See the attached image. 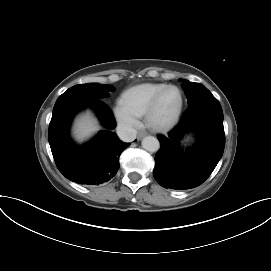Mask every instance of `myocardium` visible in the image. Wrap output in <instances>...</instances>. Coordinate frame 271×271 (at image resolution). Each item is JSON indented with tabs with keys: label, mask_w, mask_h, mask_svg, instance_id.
<instances>
[{
	"label": "myocardium",
	"mask_w": 271,
	"mask_h": 271,
	"mask_svg": "<svg viewBox=\"0 0 271 271\" xmlns=\"http://www.w3.org/2000/svg\"><path fill=\"white\" fill-rule=\"evenodd\" d=\"M170 89H175L179 94V105L177 110L175 111L174 115L164 122H159L156 120L155 115L157 112V109L159 107L160 101L163 97V95ZM184 106V97L181 89L177 87L176 85H166L163 89H161L155 97L152 99L150 105L148 106V109L145 114V119L147 124L155 131L158 132H165L171 129L176 125V123L179 121L180 116L183 111Z\"/></svg>",
	"instance_id": "obj_1"
}]
</instances>
